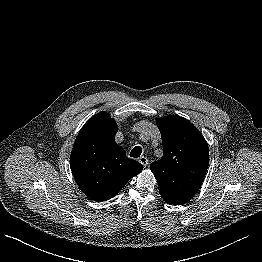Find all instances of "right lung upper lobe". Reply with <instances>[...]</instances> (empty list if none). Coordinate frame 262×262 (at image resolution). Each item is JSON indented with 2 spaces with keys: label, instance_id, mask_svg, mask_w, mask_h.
I'll return each mask as SVG.
<instances>
[{
  "label": "right lung upper lobe",
  "instance_id": "obj_1",
  "mask_svg": "<svg viewBox=\"0 0 262 262\" xmlns=\"http://www.w3.org/2000/svg\"><path fill=\"white\" fill-rule=\"evenodd\" d=\"M117 131L115 120L100 112L85 123L74 142L72 174L92 200H109L143 170L142 164L129 159L115 142Z\"/></svg>",
  "mask_w": 262,
  "mask_h": 262
}]
</instances>
